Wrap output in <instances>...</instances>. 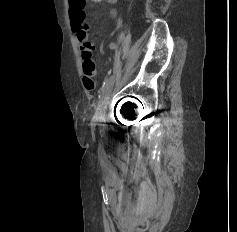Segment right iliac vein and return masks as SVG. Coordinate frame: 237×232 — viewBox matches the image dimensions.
Returning a JSON list of instances; mask_svg holds the SVG:
<instances>
[{
	"instance_id": "1",
	"label": "right iliac vein",
	"mask_w": 237,
	"mask_h": 232,
	"mask_svg": "<svg viewBox=\"0 0 237 232\" xmlns=\"http://www.w3.org/2000/svg\"><path fill=\"white\" fill-rule=\"evenodd\" d=\"M114 81H115V76L114 75L110 76V78L107 81V84L105 85V87L102 91V94H101V97H100V100H99V103H98V106L96 109V113H95V118L97 120H101L104 118L105 110H106L108 102H109V97L111 94V90H112Z\"/></svg>"
}]
</instances>
